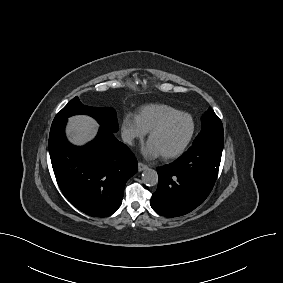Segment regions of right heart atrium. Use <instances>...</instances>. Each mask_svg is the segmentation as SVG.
Returning a JSON list of instances; mask_svg holds the SVG:
<instances>
[{"label":"right heart atrium","instance_id":"1","mask_svg":"<svg viewBox=\"0 0 283 283\" xmlns=\"http://www.w3.org/2000/svg\"><path fill=\"white\" fill-rule=\"evenodd\" d=\"M146 130L140 124L137 115L126 113L121 122L122 138L128 145H134L146 135Z\"/></svg>","mask_w":283,"mask_h":283}]
</instances>
